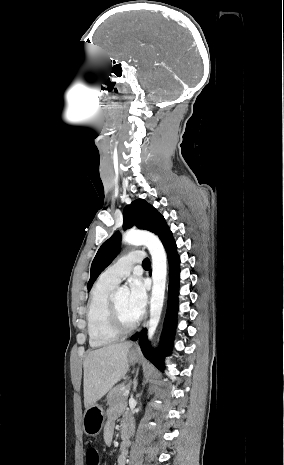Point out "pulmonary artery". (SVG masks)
<instances>
[{
	"label": "pulmonary artery",
	"mask_w": 284,
	"mask_h": 465,
	"mask_svg": "<svg viewBox=\"0 0 284 465\" xmlns=\"http://www.w3.org/2000/svg\"><path fill=\"white\" fill-rule=\"evenodd\" d=\"M143 260L142 250H133L132 254H121V262L106 269L100 275V280L117 285L131 272L134 263H142Z\"/></svg>",
	"instance_id": "pulmonary-artery-1"
}]
</instances>
